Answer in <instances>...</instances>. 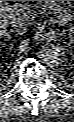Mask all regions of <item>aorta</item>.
<instances>
[{
    "mask_svg": "<svg viewBox=\"0 0 74 122\" xmlns=\"http://www.w3.org/2000/svg\"><path fill=\"white\" fill-rule=\"evenodd\" d=\"M41 61L48 66H57L63 60V52L53 43H43L38 52Z\"/></svg>",
    "mask_w": 74,
    "mask_h": 122,
    "instance_id": "762f6f07",
    "label": "aorta"
}]
</instances>
